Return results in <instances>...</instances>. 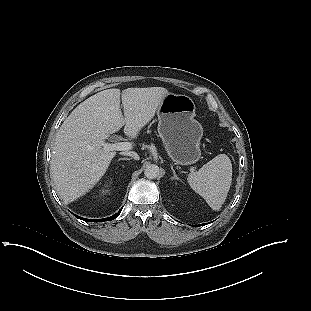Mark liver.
I'll return each mask as SVG.
<instances>
[{
  "label": "liver",
  "instance_id": "6515ba94",
  "mask_svg": "<svg viewBox=\"0 0 311 311\" xmlns=\"http://www.w3.org/2000/svg\"><path fill=\"white\" fill-rule=\"evenodd\" d=\"M163 87L107 89L80 103L57 132L51 157V175L61 197L71 202L88 192L105 174L116 152L103 149L110 134L124 125L136 138L154 117ZM120 97L124 116L120 109Z\"/></svg>",
  "mask_w": 311,
  "mask_h": 311
}]
</instances>
